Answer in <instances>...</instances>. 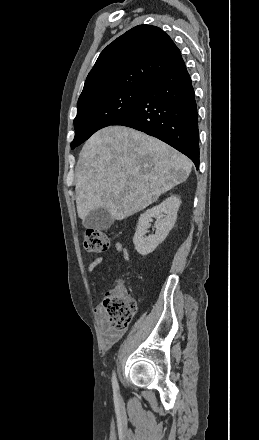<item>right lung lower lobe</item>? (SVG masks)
<instances>
[{
	"instance_id": "obj_1",
	"label": "right lung lower lobe",
	"mask_w": 259,
	"mask_h": 440,
	"mask_svg": "<svg viewBox=\"0 0 259 440\" xmlns=\"http://www.w3.org/2000/svg\"><path fill=\"white\" fill-rule=\"evenodd\" d=\"M112 125L154 136L188 156L199 168L197 107L183 59L155 80L138 104Z\"/></svg>"
}]
</instances>
